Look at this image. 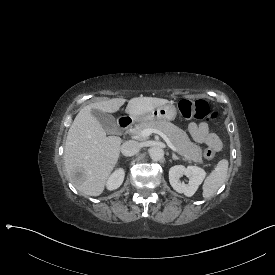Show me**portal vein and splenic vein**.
Segmentation results:
<instances>
[{"label": "portal vein and splenic vein", "instance_id": "obj_1", "mask_svg": "<svg viewBox=\"0 0 275 275\" xmlns=\"http://www.w3.org/2000/svg\"><path fill=\"white\" fill-rule=\"evenodd\" d=\"M151 133H156L158 135H160L163 140L167 143V145L174 151V152H178L177 148L173 146L172 142L170 141V139L167 137V135L163 132H161L160 130L157 129H144L143 131L138 133V136L140 137H147L149 136Z\"/></svg>", "mask_w": 275, "mask_h": 275}]
</instances>
